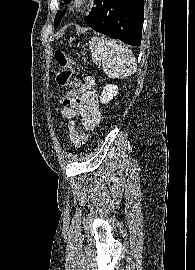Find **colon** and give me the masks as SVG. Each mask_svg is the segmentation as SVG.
Returning <instances> with one entry per match:
<instances>
[{
	"label": "colon",
	"mask_w": 195,
	"mask_h": 270,
	"mask_svg": "<svg viewBox=\"0 0 195 270\" xmlns=\"http://www.w3.org/2000/svg\"><path fill=\"white\" fill-rule=\"evenodd\" d=\"M55 59L58 64L59 70L56 74V82L61 87L69 88L62 99V106H70L78 99L81 93V83L72 79V73L74 68L73 60L63 50H56ZM75 139L78 145H83L87 142L88 136L82 130L75 132Z\"/></svg>",
	"instance_id": "colon-1"
}]
</instances>
